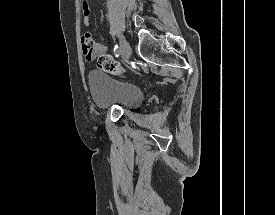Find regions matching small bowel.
Here are the masks:
<instances>
[{"label":"small bowel","mask_w":275,"mask_h":215,"mask_svg":"<svg viewBox=\"0 0 275 215\" xmlns=\"http://www.w3.org/2000/svg\"><path fill=\"white\" fill-rule=\"evenodd\" d=\"M91 8L88 2L83 3L82 7V15L84 18V23L86 26L89 25V19L91 16ZM81 50L82 55L86 61H92L96 57L106 54L108 51V47L104 44L96 42L93 40V34L90 31L85 32L81 36Z\"/></svg>","instance_id":"small-bowel-1"}]
</instances>
